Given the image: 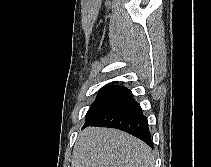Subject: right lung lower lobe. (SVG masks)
Listing matches in <instances>:
<instances>
[{
    "instance_id": "98d812e1",
    "label": "right lung lower lobe",
    "mask_w": 211,
    "mask_h": 167,
    "mask_svg": "<svg viewBox=\"0 0 211 167\" xmlns=\"http://www.w3.org/2000/svg\"><path fill=\"white\" fill-rule=\"evenodd\" d=\"M87 126L110 127L123 130L153 147L147 118L140 105L134 100L130 90L114 101L94 120L85 123Z\"/></svg>"
}]
</instances>
